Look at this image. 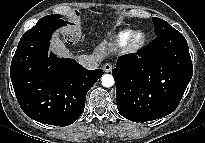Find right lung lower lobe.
Returning a JSON list of instances; mask_svg holds the SVG:
<instances>
[{
  "mask_svg": "<svg viewBox=\"0 0 205 143\" xmlns=\"http://www.w3.org/2000/svg\"><path fill=\"white\" fill-rule=\"evenodd\" d=\"M61 26L56 20L41 18L25 32L12 59L10 77L18 103L30 118L68 126L83 113L87 92L103 71L48 55L50 37Z\"/></svg>",
  "mask_w": 205,
  "mask_h": 143,
  "instance_id": "1",
  "label": "right lung lower lobe"
}]
</instances>
